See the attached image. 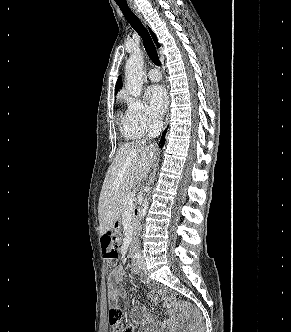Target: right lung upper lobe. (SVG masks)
I'll return each mask as SVG.
<instances>
[{"mask_svg":"<svg viewBox=\"0 0 291 332\" xmlns=\"http://www.w3.org/2000/svg\"><path fill=\"white\" fill-rule=\"evenodd\" d=\"M150 33L152 35V38L154 40V42L156 43V45L159 47V43L157 41V37L156 35L150 30ZM122 87V79L121 77L119 76L118 80H117V83H116V87H115V94H117V92L119 91V89Z\"/></svg>","mask_w":291,"mask_h":332,"instance_id":"cb5924a9","label":"right lung upper lobe"}]
</instances>
